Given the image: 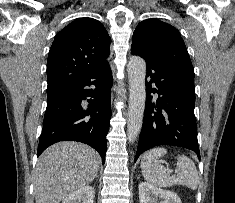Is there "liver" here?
<instances>
[{
  "label": "liver",
  "mask_w": 235,
  "mask_h": 203,
  "mask_svg": "<svg viewBox=\"0 0 235 203\" xmlns=\"http://www.w3.org/2000/svg\"><path fill=\"white\" fill-rule=\"evenodd\" d=\"M99 163V154L86 144L71 141L53 144L42 153L36 165V203H60L94 180Z\"/></svg>",
  "instance_id": "1"
}]
</instances>
